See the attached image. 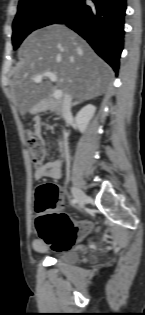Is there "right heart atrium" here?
Returning <instances> with one entry per match:
<instances>
[{
    "mask_svg": "<svg viewBox=\"0 0 145 315\" xmlns=\"http://www.w3.org/2000/svg\"><path fill=\"white\" fill-rule=\"evenodd\" d=\"M55 17H56V13H55V11L52 8H49V9L46 10L45 18L48 21L53 20Z\"/></svg>",
    "mask_w": 145,
    "mask_h": 315,
    "instance_id": "obj_1",
    "label": "right heart atrium"
}]
</instances>
